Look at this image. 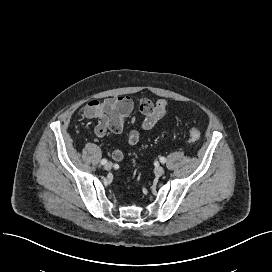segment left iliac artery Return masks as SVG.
Returning <instances> with one entry per match:
<instances>
[{"mask_svg":"<svg viewBox=\"0 0 272 272\" xmlns=\"http://www.w3.org/2000/svg\"><path fill=\"white\" fill-rule=\"evenodd\" d=\"M160 161H161V163H165V162H166L165 157H161V158H160Z\"/></svg>","mask_w":272,"mask_h":272,"instance_id":"left-iliac-artery-1","label":"left iliac artery"}]
</instances>
